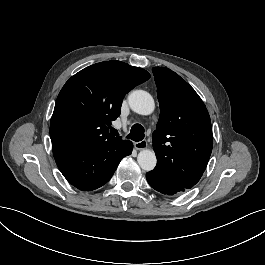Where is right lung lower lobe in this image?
Wrapping results in <instances>:
<instances>
[{"mask_svg": "<svg viewBox=\"0 0 265 265\" xmlns=\"http://www.w3.org/2000/svg\"><path fill=\"white\" fill-rule=\"evenodd\" d=\"M129 140L99 146L55 144V161L67 181L82 191L103 186L112 177L121 159L132 152Z\"/></svg>", "mask_w": 265, "mask_h": 265, "instance_id": "1", "label": "right lung lower lobe"}]
</instances>
